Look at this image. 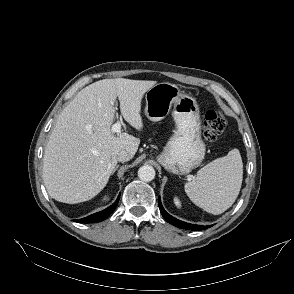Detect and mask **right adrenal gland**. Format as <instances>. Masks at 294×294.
I'll return each instance as SVG.
<instances>
[{
	"label": "right adrenal gland",
	"mask_w": 294,
	"mask_h": 294,
	"mask_svg": "<svg viewBox=\"0 0 294 294\" xmlns=\"http://www.w3.org/2000/svg\"><path fill=\"white\" fill-rule=\"evenodd\" d=\"M119 165H117L114 170L112 171V175L116 172V170L118 169Z\"/></svg>",
	"instance_id": "1"
}]
</instances>
